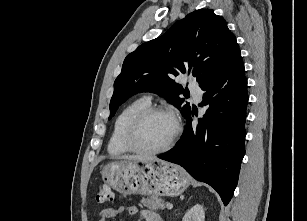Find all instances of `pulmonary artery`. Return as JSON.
<instances>
[{
  "label": "pulmonary artery",
  "mask_w": 307,
  "mask_h": 221,
  "mask_svg": "<svg viewBox=\"0 0 307 221\" xmlns=\"http://www.w3.org/2000/svg\"><path fill=\"white\" fill-rule=\"evenodd\" d=\"M189 88H190V91L192 92V94L194 95L195 99L197 101H200L201 98H202V91H201L199 85L195 82H191L189 84Z\"/></svg>",
  "instance_id": "1"
}]
</instances>
